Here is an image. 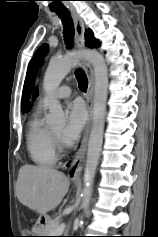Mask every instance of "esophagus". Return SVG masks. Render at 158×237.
<instances>
[{
  "instance_id": "1",
  "label": "esophagus",
  "mask_w": 158,
  "mask_h": 237,
  "mask_svg": "<svg viewBox=\"0 0 158 237\" xmlns=\"http://www.w3.org/2000/svg\"><path fill=\"white\" fill-rule=\"evenodd\" d=\"M69 10L71 12V15L74 21L76 45L79 49H83L85 47L84 22L74 7L69 8ZM82 65L88 78L86 103H87V108L89 112V119L84 131V135H83L80 147L75 153L68 169V177L72 181H77L80 179L84 161H85V156H86V151H87V146H88V139H89V134H90L92 120H93V97H94L95 75H94V70L89 62L82 60Z\"/></svg>"
}]
</instances>
